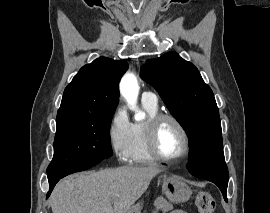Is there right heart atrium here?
Masks as SVG:
<instances>
[{
  "mask_svg": "<svg viewBox=\"0 0 270 213\" xmlns=\"http://www.w3.org/2000/svg\"><path fill=\"white\" fill-rule=\"evenodd\" d=\"M130 121L123 108H118L112 119L108 130V138L111 149L120 161L127 159V151L130 142Z\"/></svg>",
  "mask_w": 270,
  "mask_h": 213,
  "instance_id": "obj_1",
  "label": "right heart atrium"
}]
</instances>
